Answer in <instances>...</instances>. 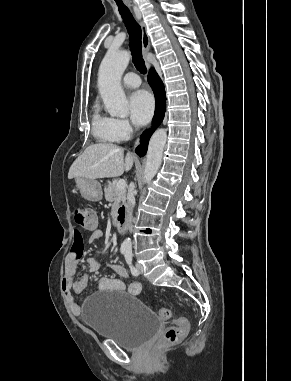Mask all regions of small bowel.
<instances>
[{
    "label": "small bowel",
    "instance_id": "1",
    "mask_svg": "<svg viewBox=\"0 0 291 381\" xmlns=\"http://www.w3.org/2000/svg\"><path fill=\"white\" fill-rule=\"evenodd\" d=\"M102 233L100 230L93 231L89 238V243H94L100 239ZM82 245V238L79 233L75 234V241L73 247L66 257L64 278L62 283V290L70 310L73 314L78 315L81 312V306L76 301V295L81 294L88 285V279L81 277L76 279L77 266L80 258V248ZM90 265H94L93 262L88 261ZM111 269L120 277L126 278L128 276L127 270L122 265H112ZM142 285L139 281H133L128 286L120 279L102 277L97 282L98 291H126L132 295H138L141 292Z\"/></svg>",
    "mask_w": 291,
    "mask_h": 381
}]
</instances>
